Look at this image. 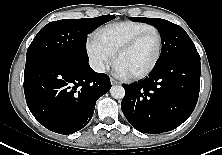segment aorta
<instances>
[{
	"instance_id": "obj_1",
	"label": "aorta",
	"mask_w": 222,
	"mask_h": 155,
	"mask_svg": "<svg viewBox=\"0 0 222 155\" xmlns=\"http://www.w3.org/2000/svg\"><path fill=\"white\" fill-rule=\"evenodd\" d=\"M110 94L115 99H123L125 96V89L121 85H115L111 87Z\"/></svg>"
}]
</instances>
